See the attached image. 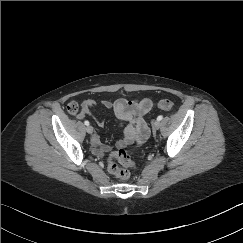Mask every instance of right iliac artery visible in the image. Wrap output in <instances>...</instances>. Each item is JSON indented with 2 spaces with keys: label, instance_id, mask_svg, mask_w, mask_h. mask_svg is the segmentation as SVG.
I'll use <instances>...</instances> for the list:
<instances>
[{
  "label": "right iliac artery",
  "instance_id": "1",
  "mask_svg": "<svg viewBox=\"0 0 243 243\" xmlns=\"http://www.w3.org/2000/svg\"><path fill=\"white\" fill-rule=\"evenodd\" d=\"M84 124H85L86 126H88V125H89V121L86 120V121L84 122Z\"/></svg>",
  "mask_w": 243,
  "mask_h": 243
}]
</instances>
